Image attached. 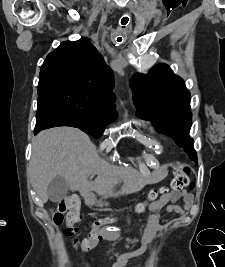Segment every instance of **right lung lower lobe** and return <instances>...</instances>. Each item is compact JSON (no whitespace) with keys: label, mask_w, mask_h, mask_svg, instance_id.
I'll use <instances>...</instances> for the list:
<instances>
[{"label":"right lung lower lobe","mask_w":225,"mask_h":267,"mask_svg":"<svg viewBox=\"0 0 225 267\" xmlns=\"http://www.w3.org/2000/svg\"><path fill=\"white\" fill-rule=\"evenodd\" d=\"M57 126L76 127V124L47 100H39L34 134L44 129Z\"/></svg>","instance_id":"98d812e1"}]
</instances>
